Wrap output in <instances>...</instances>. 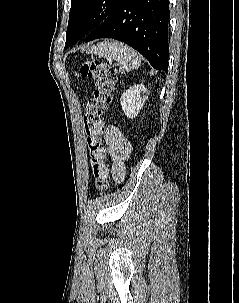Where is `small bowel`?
<instances>
[{
  "label": "small bowel",
  "mask_w": 239,
  "mask_h": 303,
  "mask_svg": "<svg viewBox=\"0 0 239 303\" xmlns=\"http://www.w3.org/2000/svg\"><path fill=\"white\" fill-rule=\"evenodd\" d=\"M104 142L106 152L111 159L112 177L116 182H121L125 177V160L130 153L131 144L116 126L107 128Z\"/></svg>",
  "instance_id": "small-bowel-1"
}]
</instances>
